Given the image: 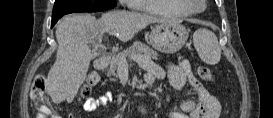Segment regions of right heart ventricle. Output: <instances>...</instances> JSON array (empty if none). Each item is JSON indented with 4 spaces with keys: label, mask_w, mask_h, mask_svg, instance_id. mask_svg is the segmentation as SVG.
I'll use <instances>...</instances> for the list:
<instances>
[{
    "label": "right heart ventricle",
    "mask_w": 273,
    "mask_h": 118,
    "mask_svg": "<svg viewBox=\"0 0 273 118\" xmlns=\"http://www.w3.org/2000/svg\"><path fill=\"white\" fill-rule=\"evenodd\" d=\"M133 7L173 17H186L190 14L181 0H138L134 1Z\"/></svg>",
    "instance_id": "1"
}]
</instances>
